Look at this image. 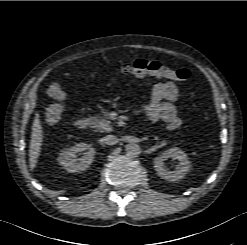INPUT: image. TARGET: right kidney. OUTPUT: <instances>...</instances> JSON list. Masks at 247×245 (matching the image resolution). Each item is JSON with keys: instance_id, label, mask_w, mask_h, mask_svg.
Returning a JSON list of instances; mask_svg holds the SVG:
<instances>
[{"instance_id": "obj_1", "label": "right kidney", "mask_w": 247, "mask_h": 245, "mask_svg": "<svg viewBox=\"0 0 247 245\" xmlns=\"http://www.w3.org/2000/svg\"><path fill=\"white\" fill-rule=\"evenodd\" d=\"M94 155V148L86 143H78L64 151L58 158V161L67 172H80L89 168L94 159Z\"/></svg>"}]
</instances>
